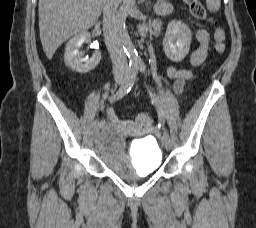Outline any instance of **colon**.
I'll list each match as a JSON object with an SVG mask.
<instances>
[{
	"label": "colon",
	"instance_id": "obj_1",
	"mask_svg": "<svg viewBox=\"0 0 256 228\" xmlns=\"http://www.w3.org/2000/svg\"><path fill=\"white\" fill-rule=\"evenodd\" d=\"M184 2L188 5L191 14L200 20L210 19L208 12L204 5L199 0H184ZM226 33L225 30L221 27H217L214 31V49L217 53H224ZM137 122L142 126H151L152 118L147 113H140L137 118Z\"/></svg>",
	"mask_w": 256,
	"mask_h": 228
}]
</instances>
